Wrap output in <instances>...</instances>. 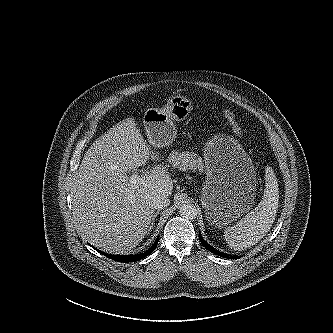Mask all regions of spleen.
I'll return each mask as SVG.
<instances>
[{
  "label": "spleen",
  "mask_w": 333,
  "mask_h": 333,
  "mask_svg": "<svg viewBox=\"0 0 333 333\" xmlns=\"http://www.w3.org/2000/svg\"><path fill=\"white\" fill-rule=\"evenodd\" d=\"M279 203L277 177L272 167L265 168V189L254 210L224 231V238L234 250H244L257 244L271 229Z\"/></svg>",
  "instance_id": "1"
}]
</instances>
